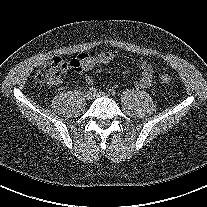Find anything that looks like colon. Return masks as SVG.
<instances>
[{
  "label": "colon",
  "instance_id": "obj_1",
  "mask_svg": "<svg viewBox=\"0 0 207 207\" xmlns=\"http://www.w3.org/2000/svg\"><path fill=\"white\" fill-rule=\"evenodd\" d=\"M69 65L63 58L55 56L36 73V80L41 84H54L59 81L60 76L68 69ZM159 79L163 84H169L172 81V76L169 73L161 72Z\"/></svg>",
  "mask_w": 207,
  "mask_h": 207
}]
</instances>
